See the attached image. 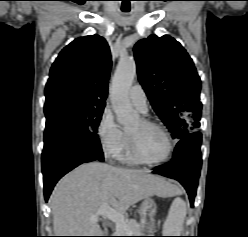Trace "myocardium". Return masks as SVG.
<instances>
[{
    "label": "myocardium",
    "mask_w": 248,
    "mask_h": 237,
    "mask_svg": "<svg viewBox=\"0 0 248 237\" xmlns=\"http://www.w3.org/2000/svg\"><path fill=\"white\" fill-rule=\"evenodd\" d=\"M140 122L145 126H149V127H153V128L158 129L164 135V137L167 141V144H168V149H167V152L163 158L158 159V160H149L141 154V152L139 151V149L137 147L135 140L133 139V137L129 133H127L126 137L128 140L129 149H130L132 157L139 163L151 165V166L160 165V164L167 162L170 159V157L172 156L173 151H174L173 140H172V137H171L170 133L168 132V130L160 123L146 119V118H141Z\"/></svg>",
    "instance_id": "obj_1"
}]
</instances>
